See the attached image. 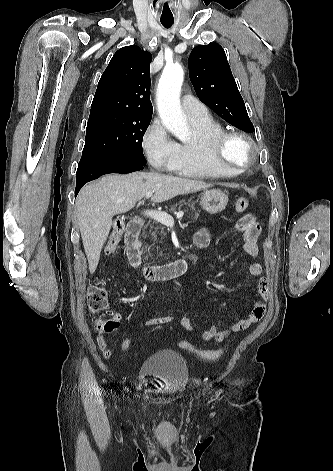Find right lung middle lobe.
<instances>
[{
	"instance_id": "right-lung-middle-lobe-1",
	"label": "right lung middle lobe",
	"mask_w": 333,
	"mask_h": 471,
	"mask_svg": "<svg viewBox=\"0 0 333 471\" xmlns=\"http://www.w3.org/2000/svg\"><path fill=\"white\" fill-rule=\"evenodd\" d=\"M151 117L128 113L89 117L81 159L110 157L146 164L142 139Z\"/></svg>"
}]
</instances>
